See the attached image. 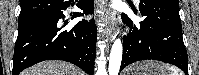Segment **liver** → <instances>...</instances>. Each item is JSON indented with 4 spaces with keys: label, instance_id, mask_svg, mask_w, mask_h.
Wrapping results in <instances>:
<instances>
[{
    "label": "liver",
    "instance_id": "6515ba94",
    "mask_svg": "<svg viewBox=\"0 0 199 75\" xmlns=\"http://www.w3.org/2000/svg\"><path fill=\"white\" fill-rule=\"evenodd\" d=\"M21 75H84L76 66L62 61H44L27 70Z\"/></svg>",
    "mask_w": 199,
    "mask_h": 75
}]
</instances>
